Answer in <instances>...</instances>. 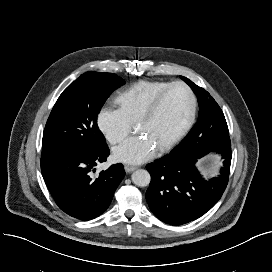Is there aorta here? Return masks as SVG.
<instances>
[{"label": "aorta", "instance_id": "762f6f07", "mask_svg": "<svg viewBox=\"0 0 272 272\" xmlns=\"http://www.w3.org/2000/svg\"><path fill=\"white\" fill-rule=\"evenodd\" d=\"M131 178L132 182L139 187L148 186L151 180L149 172L144 169H138L135 172H133Z\"/></svg>", "mask_w": 272, "mask_h": 272}]
</instances>
